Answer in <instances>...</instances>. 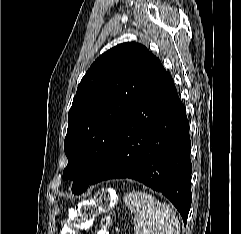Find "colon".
I'll return each mask as SVG.
<instances>
[{"mask_svg": "<svg viewBox=\"0 0 241 234\" xmlns=\"http://www.w3.org/2000/svg\"><path fill=\"white\" fill-rule=\"evenodd\" d=\"M116 203V198L108 190L103 189L95 196L71 209L61 222L60 234H79V230L89 228L95 218L103 213L110 211ZM110 226V219L103 218L101 228L96 234H108L107 229Z\"/></svg>", "mask_w": 241, "mask_h": 234, "instance_id": "colon-1", "label": "colon"}]
</instances>
